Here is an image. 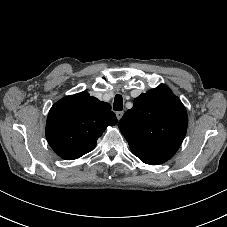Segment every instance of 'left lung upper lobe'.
I'll return each mask as SVG.
<instances>
[{
	"label": "left lung upper lobe",
	"mask_w": 227,
	"mask_h": 227,
	"mask_svg": "<svg viewBox=\"0 0 227 227\" xmlns=\"http://www.w3.org/2000/svg\"><path fill=\"white\" fill-rule=\"evenodd\" d=\"M187 125L184 105L164 84L137 97L118 123L132 153L150 165L174 156Z\"/></svg>",
	"instance_id": "obj_1"
}]
</instances>
